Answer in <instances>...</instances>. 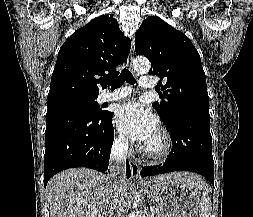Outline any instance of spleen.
<instances>
[{"label": "spleen", "instance_id": "3e777b00", "mask_svg": "<svg viewBox=\"0 0 253 217\" xmlns=\"http://www.w3.org/2000/svg\"><path fill=\"white\" fill-rule=\"evenodd\" d=\"M203 188V187H202ZM211 199L205 192L201 198L199 217H211Z\"/></svg>", "mask_w": 253, "mask_h": 217}]
</instances>
